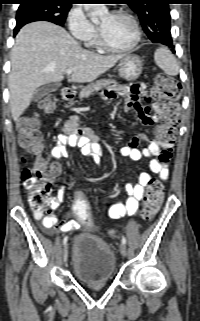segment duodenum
Masks as SVG:
<instances>
[{"mask_svg":"<svg viewBox=\"0 0 200 321\" xmlns=\"http://www.w3.org/2000/svg\"><path fill=\"white\" fill-rule=\"evenodd\" d=\"M74 97V93L70 89H64L62 91V98L66 101L71 100Z\"/></svg>","mask_w":200,"mask_h":321,"instance_id":"410a0bca","label":"duodenum"}]
</instances>
